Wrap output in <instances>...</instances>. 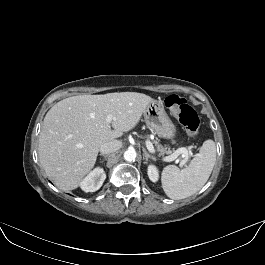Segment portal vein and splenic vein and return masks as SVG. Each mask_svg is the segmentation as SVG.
<instances>
[{
  "label": "portal vein and splenic vein",
  "mask_w": 265,
  "mask_h": 265,
  "mask_svg": "<svg viewBox=\"0 0 265 265\" xmlns=\"http://www.w3.org/2000/svg\"><path fill=\"white\" fill-rule=\"evenodd\" d=\"M112 121V116H108L107 117V122H111ZM146 147L149 150V152L154 153V147L153 144L151 143V141L147 140L146 141ZM179 154H182V158L183 160H181V162L179 163L180 167H183L184 164L187 162L189 155H192L191 152H189L186 148H179L177 151H175V153H173L170 156L165 157L163 160L166 162H171L174 161Z\"/></svg>",
  "instance_id": "obj_1"
}]
</instances>
